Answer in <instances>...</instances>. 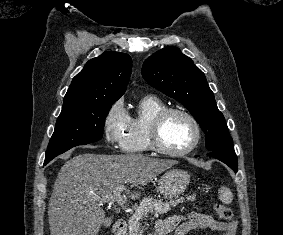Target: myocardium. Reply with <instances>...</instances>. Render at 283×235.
<instances>
[{
    "instance_id": "1",
    "label": "myocardium",
    "mask_w": 283,
    "mask_h": 235,
    "mask_svg": "<svg viewBox=\"0 0 283 235\" xmlns=\"http://www.w3.org/2000/svg\"><path fill=\"white\" fill-rule=\"evenodd\" d=\"M173 113H179L184 115L191 122L194 128L193 141L188 147L179 151H172L165 148L160 141L161 126L163 122L166 120V118ZM200 140H201V127L198 120L190 111L181 107L165 108L155 116L149 128V145L151 150L165 156L178 157V156L187 155L197 148V146L200 143Z\"/></svg>"
}]
</instances>
